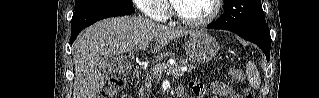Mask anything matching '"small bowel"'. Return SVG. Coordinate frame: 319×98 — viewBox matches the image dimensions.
<instances>
[{
	"instance_id": "obj_1",
	"label": "small bowel",
	"mask_w": 319,
	"mask_h": 98,
	"mask_svg": "<svg viewBox=\"0 0 319 98\" xmlns=\"http://www.w3.org/2000/svg\"><path fill=\"white\" fill-rule=\"evenodd\" d=\"M190 89L193 94L197 98H205L206 96V87L197 82H191L189 84ZM211 91L219 97H231V98H239L238 95L233 94V89L230 85L216 81L213 82L210 86Z\"/></svg>"
}]
</instances>
